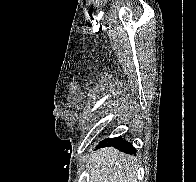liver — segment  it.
<instances>
[{
	"label": "liver",
	"mask_w": 196,
	"mask_h": 182,
	"mask_svg": "<svg viewBox=\"0 0 196 182\" xmlns=\"http://www.w3.org/2000/svg\"><path fill=\"white\" fill-rule=\"evenodd\" d=\"M89 164V182H137L135 158L113 147L94 152Z\"/></svg>",
	"instance_id": "1"
}]
</instances>
